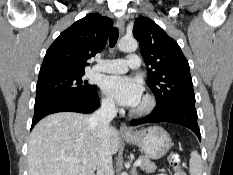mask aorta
Wrapping results in <instances>:
<instances>
[{"label": "aorta", "instance_id": "1", "mask_svg": "<svg viewBox=\"0 0 233 175\" xmlns=\"http://www.w3.org/2000/svg\"><path fill=\"white\" fill-rule=\"evenodd\" d=\"M137 47L138 43L133 38H122L118 43V49L123 52H134L137 49Z\"/></svg>", "mask_w": 233, "mask_h": 175}]
</instances>
